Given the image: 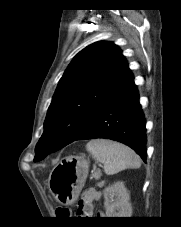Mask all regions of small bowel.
<instances>
[{"label": "small bowel", "instance_id": "obj_1", "mask_svg": "<svg viewBox=\"0 0 181 227\" xmlns=\"http://www.w3.org/2000/svg\"><path fill=\"white\" fill-rule=\"evenodd\" d=\"M102 194L95 189H89L84 192L79 201L77 214L84 217H101L104 215L102 211L94 212V202L100 201Z\"/></svg>", "mask_w": 181, "mask_h": 227}]
</instances>
